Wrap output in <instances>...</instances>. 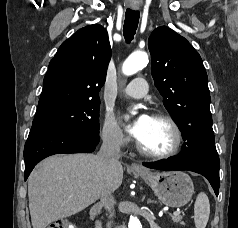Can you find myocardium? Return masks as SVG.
<instances>
[{
    "instance_id": "obj_1",
    "label": "myocardium",
    "mask_w": 238,
    "mask_h": 228,
    "mask_svg": "<svg viewBox=\"0 0 238 228\" xmlns=\"http://www.w3.org/2000/svg\"><path fill=\"white\" fill-rule=\"evenodd\" d=\"M151 118L164 120L170 125V127L173 130V134H174L173 145L169 150H167L165 152L156 153V152H150V151H147L146 149H144L142 147V145L139 143V141L137 140L136 141L137 151L141 155H143L147 158H151V159H159L160 160V159H168V158L173 157L174 155H176L179 152L181 145H182V132H181V129H180L178 123L175 121V119L172 116H170L167 113L160 112V111L154 112L151 115Z\"/></svg>"
}]
</instances>
